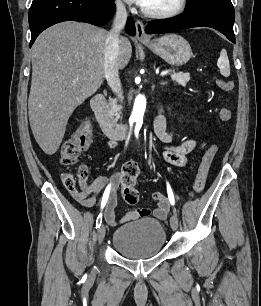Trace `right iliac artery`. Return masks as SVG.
I'll use <instances>...</instances> for the list:
<instances>
[{
  "instance_id": "obj_1",
  "label": "right iliac artery",
  "mask_w": 261,
  "mask_h": 306,
  "mask_svg": "<svg viewBox=\"0 0 261 306\" xmlns=\"http://www.w3.org/2000/svg\"><path fill=\"white\" fill-rule=\"evenodd\" d=\"M109 188L110 186L107 187L106 191L104 192L103 198H102V204L101 206L103 207L107 201L108 195H109ZM102 223V213H100L97 217L96 220V228L100 227Z\"/></svg>"
}]
</instances>
